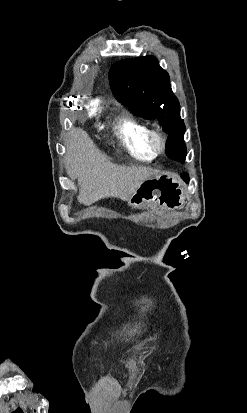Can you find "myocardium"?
Here are the masks:
<instances>
[{"mask_svg":"<svg viewBox=\"0 0 247 413\" xmlns=\"http://www.w3.org/2000/svg\"><path fill=\"white\" fill-rule=\"evenodd\" d=\"M143 140L146 147L156 155L164 152L166 139L159 130L146 128L143 133Z\"/></svg>","mask_w":247,"mask_h":413,"instance_id":"myocardium-1","label":"myocardium"}]
</instances>
